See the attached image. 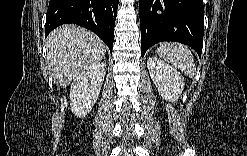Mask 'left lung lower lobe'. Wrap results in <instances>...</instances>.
<instances>
[{
	"label": "left lung lower lobe",
	"mask_w": 247,
	"mask_h": 156,
	"mask_svg": "<svg viewBox=\"0 0 247 156\" xmlns=\"http://www.w3.org/2000/svg\"><path fill=\"white\" fill-rule=\"evenodd\" d=\"M141 55L162 41H176L201 56L204 35L202 0H139Z\"/></svg>",
	"instance_id": "obj_1"
}]
</instances>
